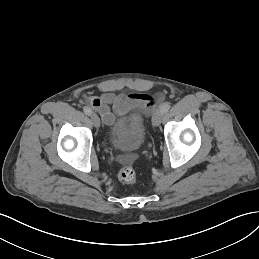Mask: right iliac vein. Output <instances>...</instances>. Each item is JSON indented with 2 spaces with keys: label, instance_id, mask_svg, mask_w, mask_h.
Here are the masks:
<instances>
[{
  "label": "right iliac vein",
  "instance_id": "right-iliac-vein-1",
  "mask_svg": "<svg viewBox=\"0 0 259 259\" xmlns=\"http://www.w3.org/2000/svg\"><path fill=\"white\" fill-rule=\"evenodd\" d=\"M90 118H91V121H92L93 125L96 128H98L100 126V119H99V117L96 114L92 113L90 115Z\"/></svg>",
  "mask_w": 259,
  "mask_h": 259
}]
</instances>
